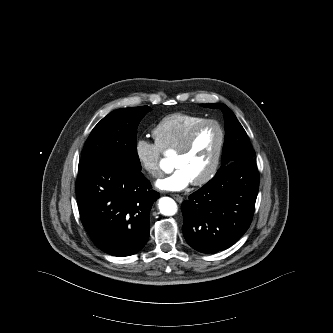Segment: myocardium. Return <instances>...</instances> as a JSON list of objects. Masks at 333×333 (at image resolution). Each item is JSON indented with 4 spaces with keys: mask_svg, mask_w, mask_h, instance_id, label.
<instances>
[{
    "mask_svg": "<svg viewBox=\"0 0 333 333\" xmlns=\"http://www.w3.org/2000/svg\"><path fill=\"white\" fill-rule=\"evenodd\" d=\"M207 125L216 126V128L218 129V132H219V143H218V148H217L215 158L213 160L212 165L208 169V171L200 178L191 182L193 185H196V186H200V185H203V184L209 182L215 176V174L217 173V171L219 169V166H220L221 160H222V156H223L225 140H226L225 130H224L223 126L221 125L220 122H218L215 119H205V120L201 121L200 123L196 124L190 130V132L184 139L183 143L176 150V154H178V155L187 154L191 150L198 132Z\"/></svg>",
    "mask_w": 333,
    "mask_h": 333,
    "instance_id": "1",
    "label": "myocardium"
}]
</instances>
